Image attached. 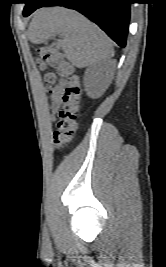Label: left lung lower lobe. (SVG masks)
Listing matches in <instances>:
<instances>
[{
    "label": "left lung lower lobe",
    "mask_w": 166,
    "mask_h": 267,
    "mask_svg": "<svg viewBox=\"0 0 166 267\" xmlns=\"http://www.w3.org/2000/svg\"><path fill=\"white\" fill-rule=\"evenodd\" d=\"M24 3L25 17L48 5L72 8L100 26L119 46L126 45L132 0H25Z\"/></svg>",
    "instance_id": "left-lung-lower-lobe-1"
}]
</instances>
